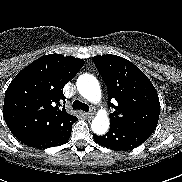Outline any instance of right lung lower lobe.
Returning <instances> with one entry per match:
<instances>
[{"mask_svg": "<svg viewBox=\"0 0 182 182\" xmlns=\"http://www.w3.org/2000/svg\"><path fill=\"white\" fill-rule=\"evenodd\" d=\"M72 124L73 123L47 135L27 140L26 142H24V144L35 148H49L65 144L70 138Z\"/></svg>", "mask_w": 182, "mask_h": 182, "instance_id": "98d812e1", "label": "right lung lower lobe"}]
</instances>
